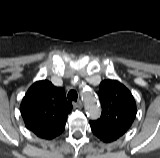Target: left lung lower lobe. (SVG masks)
Instances as JSON below:
<instances>
[{"instance_id": "0a47b994", "label": "left lung lower lobe", "mask_w": 160, "mask_h": 158, "mask_svg": "<svg viewBox=\"0 0 160 158\" xmlns=\"http://www.w3.org/2000/svg\"><path fill=\"white\" fill-rule=\"evenodd\" d=\"M91 130L93 134L98 137L101 141L109 143L119 139L121 136L112 133L92 122H90Z\"/></svg>"}]
</instances>
